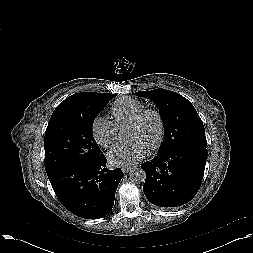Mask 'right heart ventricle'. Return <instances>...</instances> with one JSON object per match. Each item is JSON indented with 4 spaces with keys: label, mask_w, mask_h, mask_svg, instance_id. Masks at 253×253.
I'll return each instance as SVG.
<instances>
[{
    "label": "right heart ventricle",
    "mask_w": 253,
    "mask_h": 253,
    "mask_svg": "<svg viewBox=\"0 0 253 253\" xmlns=\"http://www.w3.org/2000/svg\"><path fill=\"white\" fill-rule=\"evenodd\" d=\"M145 104L137 99L122 97L117 99L110 108V113L117 126L128 124L141 110Z\"/></svg>",
    "instance_id": "obj_1"
}]
</instances>
